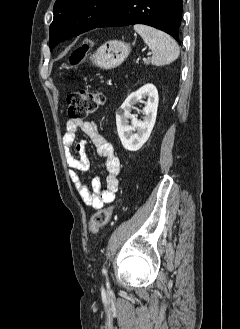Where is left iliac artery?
I'll return each instance as SVG.
<instances>
[{"label":"left iliac artery","instance_id":"1","mask_svg":"<svg viewBox=\"0 0 240 329\" xmlns=\"http://www.w3.org/2000/svg\"><path fill=\"white\" fill-rule=\"evenodd\" d=\"M102 273H103L104 275H106V274H107V270H106L105 268H103V269H102Z\"/></svg>","mask_w":240,"mask_h":329}]
</instances>
